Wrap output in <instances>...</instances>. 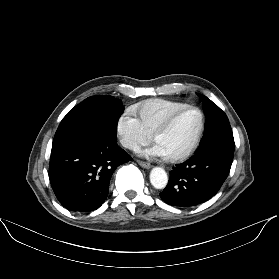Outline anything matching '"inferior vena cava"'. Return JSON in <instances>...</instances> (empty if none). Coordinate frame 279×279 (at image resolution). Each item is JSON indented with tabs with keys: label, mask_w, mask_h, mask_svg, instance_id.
Segmentation results:
<instances>
[{
	"label": "inferior vena cava",
	"mask_w": 279,
	"mask_h": 279,
	"mask_svg": "<svg viewBox=\"0 0 279 279\" xmlns=\"http://www.w3.org/2000/svg\"><path fill=\"white\" fill-rule=\"evenodd\" d=\"M129 148L133 149V150H137L138 149V145L137 144H131L129 146Z\"/></svg>",
	"instance_id": "602c4592"
}]
</instances>
